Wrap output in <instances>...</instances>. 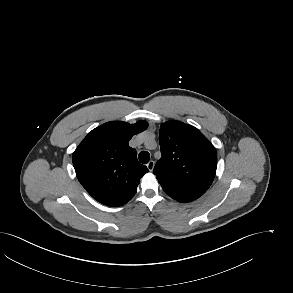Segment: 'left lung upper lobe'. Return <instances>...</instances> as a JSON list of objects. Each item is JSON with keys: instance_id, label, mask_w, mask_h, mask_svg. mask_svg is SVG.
Here are the masks:
<instances>
[{"instance_id": "left-lung-upper-lobe-1", "label": "left lung upper lobe", "mask_w": 293, "mask_h": 293, "mask_svg": "<svg viewBox=\"0 0 293 293\" xmlns=\"http://www.w3.org/2000/svg\"><path fill=\"white\" fill-rule=\"evenodd\" d=\"M159 143L162 157L153 172L163 190L183 203L202 196L216 174L215 147L197 128L175 120L161 124Z\"/></svg>"}]
</instances>
